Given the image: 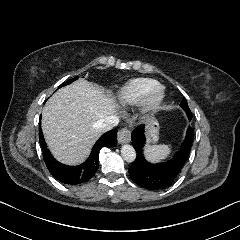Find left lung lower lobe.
<instances>
[{"mask_svg":"<svg viewBox=\"0 0 240 240\" xmlns=\"http://www.w3.org/2000/svg\"><path fill=\"white\" fill-rule=\"evenodd\" d=\"M194 132L187 130L185 140L178 153L170 160L151 164L143 155L145 144L144 125H139L132 132V145L137 156L129 168L131 179L140 187L149 190H159L169 186L184 166L193 142Z\"/></svg>","mask_w":240,"mask_h":240,"instance_id":"obj_1","label":"left lung lower lobe"}]
</instances>
